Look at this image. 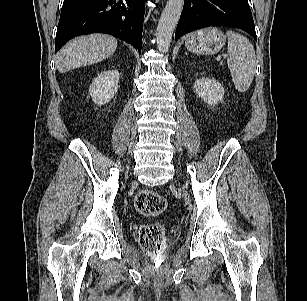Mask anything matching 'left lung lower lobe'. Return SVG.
<instances>
[{
	"label": "left lung lower lobe",
	"instance_id": "obj_1",
	"mask_svg": "<svg viewBox=\"0 0 307 301\" xmlns=\"http://www.w3.org/2000/svg\"><path fill=\"white\" fill-rule=\"evenodd\" d=\"M207 26L240 28L256 39L248 0H184L175 39Z\"/></svg>",
	"mask_w": 307,
	"mask_h": 301
}]
</instances>
